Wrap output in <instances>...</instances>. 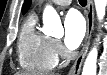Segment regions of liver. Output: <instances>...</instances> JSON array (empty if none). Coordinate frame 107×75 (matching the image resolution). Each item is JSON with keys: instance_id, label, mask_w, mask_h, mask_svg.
Segmentation results:
<instances>
[{"instance_id": "liver-1", "label": "liver", "mask_w": 107, "mask_h": 75, "mask_svg": "<svg viewBox=\"0 0 107 75\" xmlns=\"http://www.w3.org/2000/svg\"><path fill=\"white\" fill-rule=\"evenodd\" d=\"M16 75H27L26 72L23 73H17ZM50 75H54V74H50Z\"/></svg>"}]
</instances>
